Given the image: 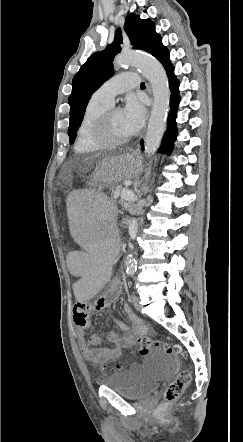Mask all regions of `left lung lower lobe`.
I'll return each mask as SVG.
<instances>
[{"mask_svg":"<svg viewBox=\"0 0 243 442\" xmlns=\"http://www.w3.org/2000/svg\"><path fill=\"white\" fill-rule=\"evenodd\" d=\"M152 55L156 57L164 66L168 78H169V84H170V90H171V99H170V113L168 117V127L167 132L163 138L162 146L160 150L163 153H167L168 155L171 153L173 143L175 141L176 135H177V129H176V113H177V107L178 103L180 101L179 95H178V87L179 83L176 79V76L174 75V69L170 63L169 59V52L165 46L162 45V42L160 41L159 44L155 47ZM142 149H144L143 146V140H141Z\"/></svg>","mask_w":243,"mask_h":442,"instance_id":"left-lung-lower-lobe-1","label":"left lung lower lobe"}]
</instances>
